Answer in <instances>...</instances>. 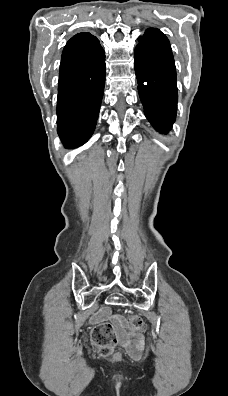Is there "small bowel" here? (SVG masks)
I'll return each mask as SVG.
<instances>
[{
  "instance_id": "obj_1",
  "label": "small bowel",
  "mask_w": 228,
  "mask_h": 396,
  "mask_svg": "<svg viewBox=\"0 0 228 396\" xmlns=\"http://www.w3.org/2000/svg\"><path fill=\"white\" fill-rule=\"evenodd\" d=\"M115 323L118 326L122 325V321L120 318L115 317L114 318ZM126 350L128 353L135 359H139L142 356L143 350H144V339L142 336L137 337L134 340L131 341H125L124 343Z\"/></svg>"
}]
</instances>
